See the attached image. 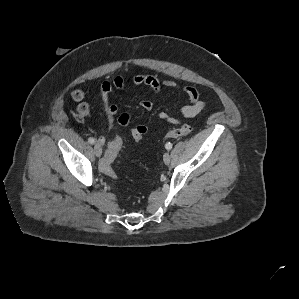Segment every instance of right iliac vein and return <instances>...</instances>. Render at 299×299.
<instances>
[{"label": "right iliac vein", "instance_id": "63e3f726", "mask_svg": "<svg viewBox=\"0 0 299 299\" xmlns=\"http://www.w3.org/2000/svg\"><path fill=\"white\" fill-rule=\"evenodd\" d=\"M94 153L97 157H100L102 155V148L98 143L94 145Z\"/></svg>", "mask_w": 299, "mask_h": 299}]
</instances>
